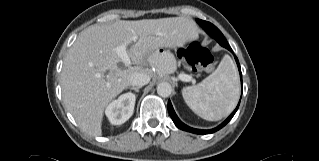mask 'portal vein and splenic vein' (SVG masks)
<instances>
[{"instance_id": "obj_1", "label": "portal vein and splenic vein", "mask_w": 319, "mask_h": 161, "mask_svg": "<svg viewBox=\"0 0 319 161\" xmlns=\"http://www.w3.org/2000/svg\"><path fill=\"white\" fill-rule=\"evenodd\" d=\"M126 47H127V44L119 45L116 47L115 51H116V54L118 55V57L120 58V60L124 63V65L126 67H129L131 64V60H130V57L126 51ZM179 78L182 81H186V82H189L192 80V77L187 75V74H180Z\"/></svg>"}]
</instances>
